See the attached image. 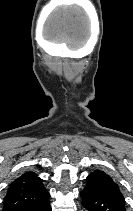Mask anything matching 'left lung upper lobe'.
I'll use <instances>...</instances> for the list:
<instances>
[{"instance_id": "5c2ea615", "label": "left lung upper lobe", "mask_w": 133, "mask_h": 211, "mask_svg": "<svg viewBox=\"0 0 133 211\" xmlns=\"http://www.w3.org/2000/svg\"><path fill=\"white\" fill-rule=\"evenodd\" d=\"M86 187L124 200L119 186L108 174L101 170L94 171L86 178Z\"/></svg>"}]
</instances>
